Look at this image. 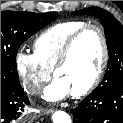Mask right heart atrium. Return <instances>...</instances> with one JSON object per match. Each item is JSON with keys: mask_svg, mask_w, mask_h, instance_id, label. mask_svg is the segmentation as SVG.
<instances>
[{"mask_svg": "<svg viewBox=\"0 0 123 123\" xmlns=\"http://www.w3.org/2000/svg\"><path fill=\"white\" fill-rule=\"evenodd\" d=\"M14 63L23 87L30 94H37L50 79L51 70L42 65L34 53L19 50Z\"/></svg>", "mask_w": 123, "mask_h": 123, "instance_id": "d8ad5b80", "label": "right heart atrium"}]
</instances>
